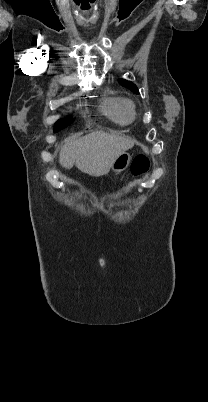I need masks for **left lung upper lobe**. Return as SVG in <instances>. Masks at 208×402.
Here are the masks:
<instances>
[{
	"label": "left lung upper lobe",
	"instance_id": "1",
	"mask_svg": "<svg viewBox=\"0 0 208 402\" xmlns=\"http://www.w3.org/2000/svg\"><path fill=\"white\" fill-rule=\"evenodd\" d=\"M119 83H120L122 86H124V87L130 89L131 91H133V92H135V93H139V91H138L136 85L133 84L132 82L127 81V80H124V79H120V80H119Z\"/></svg>",
	"mask_w": 208,
	"mask_h": 402
}]
</instances>
